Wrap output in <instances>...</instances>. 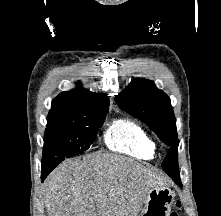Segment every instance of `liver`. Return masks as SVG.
Listing matches in <instances>:
<instances>
[{
	"instance_id": "liver-1",
	"label": "liver",
	"mask_w": 221,
	"mask_h": 216,
	"mask_svg": "<svg viewBox=\"0 0 221 216\" xmlns=\"http://www.w3.org/2000/svg\"><path fill=\"white\" fill-rule=\"evenodd\" d=\"M167 179L151 166L95 152L68 159L47 177V216H137L148 193Z\"/></svg>"
}]
</instances>
